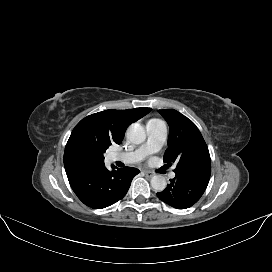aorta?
<instances>
[{
    "label": "aorta",
    "instance_id": "1",
    "mask_svg": "<svg viewBox=\"0 0 272 272\" xmlns=\"http://www.w3.org/2000/svg\"><path fill=\"white\" fill-rule=\"evenodd\" d=\"M126 136L130 142L141 144L146 139V132L143 126L138 123H133L128 127ZM150 183L152 188L156 191H163L167 186L166 179L162 175H154Z\"/></svg>",
    "mask_w": 272,
    "mask_h": 272
}]
</instances>
